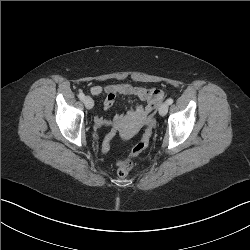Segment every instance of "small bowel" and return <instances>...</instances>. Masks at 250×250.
Returning <instances> with one entry per match:
<instances>
[{"label": "small bowel", "instance_id": "obj_1", "mask_svg": "<svg viewBox=\"0 0 250 250\" xmlns=\"http://www.w3.org/2000/svg\"><path fill=\"white\" fill-rule=\"evenodd\" d=\"M93 95H103V107L109 110L115 103L117 96L134 97L142 102L129 108L124 114H116L110 120L103 117H95V125L103 127L107 125H118L123 119L129 118L135 121H143L156 107V96L158 90L155 88L134 86L129 83L109 84L106 86L94 85L90 88Z\"/></svg>", "mask_w": 250, "mask_h": 250}]
</instances>
